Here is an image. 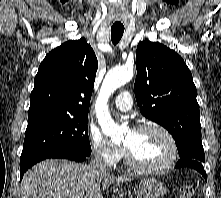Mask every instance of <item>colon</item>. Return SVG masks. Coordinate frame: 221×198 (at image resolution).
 Masks as SVG:
<instances>
[{
    "label": "colon",
    "mask_w": 221,
    "mask_h": 198,
    "mask_svg": "<svg viewBox=\"0 0 221 198\" xmlns=\"http://www.w3.org/2000/svg\"><path fill=\"white\" fill-rule=\"evenodd\" d=\"M194 187L191 184H185L180 189V198H193Z\"/></svg>",
    "instance_id": "5ec220e1"
}]
</instances>
